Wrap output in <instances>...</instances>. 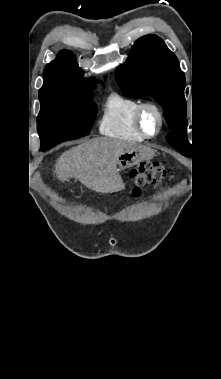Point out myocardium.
<instances>
[{"instance_id":"1","label":"myocardium","mask_w":221,"mask_h":379,"mask_svg":"<svg viewBox=\"0 0 221 379\" xmlns=\"http://www.w3.org/2000/svg\"><path fill=\"white\" fill-rule=\"evenodd\" d=\"M147 111L154 112L157 118V128L153 133L148 132L144 126V116ZM135 124L137 130L144 138L157 137L161 133L164 125V116L161 108L154 102L141 103L135 113Z\"/></svg>"}]
</instances>
